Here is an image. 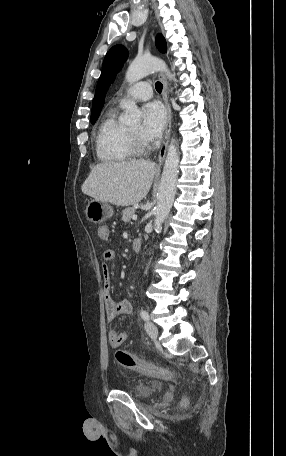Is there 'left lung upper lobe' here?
<instances>
[{"label":"left lung upper lobe","mask_w":286,"mask_h":456,"mask_svg":"<svg viewBox=\"0 0 286 456\" xmlns=\"http://www.w3.org/2000/svg\"><path fill=\"white\" fill-rule=\"evenodd\" d=\"M157 48L166 52V42L162 35L156 37ZM128 57L127 49L122 45L113 46L106 54L100 78L97 83L95 96L92 102L91 123L94 124L104 105V97L110 84L114 81L116 73L122 68Z\"/></svg>","instance_id":"5c2ea615"}]
</instances>
